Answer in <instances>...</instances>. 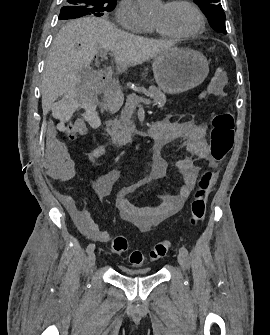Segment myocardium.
Listing matches in <instances>:
<instances>
[{
	"instance_id": "f54148a6",
	"label": "myocardium",
	"mask_w": 270,
	"mask_h": 335,
	"mask_svg": "<svg viewBox=\"0 0 270 335\" xmlns=\"http://www.w3.org/2000/svg\"><path fill=\"white\" fill-rule=\"evenodd\" d=\"M181 4H185L187 6H189L193 12L196 14L199 25L197 27L196 30L189 32V33H185V34H168V33H164L161 30H159L156 26L153 25L154 29L163 37L166 38H173V39H178V40H187L190 38H193L199 34L202 33V31L205 29V19L202 15V13L200 12V10L197 8V6L191 2V1H173L167 4L168 7L170 8H174L176 6H179ZM180 52H196L194 50L191 49H182L180 50ZM197 78H204V77H197Z\"/></svg>"
}]
</instances>
